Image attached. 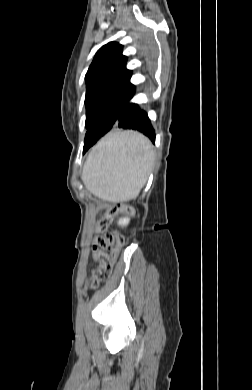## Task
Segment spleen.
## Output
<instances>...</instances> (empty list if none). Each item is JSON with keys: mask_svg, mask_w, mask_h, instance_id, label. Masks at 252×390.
I'll return each mask as SVG.
<instances>
[{"mask_svg": "<svg viewBox=\"0 0 252 390\" xmlns=\"http://www.w3.org/2000/svg\"><path fill=\"white\" fill-rule=\"evenodd\" d=\"M154 161L150 141L137 132L108 135L90 152L81 176L86 188L109 202L135 199Z\"/></svg>", "mask_w": 252, "mask_h": 390, "instance_id": "obj_1", "label": "spleen"}]
</instances>
